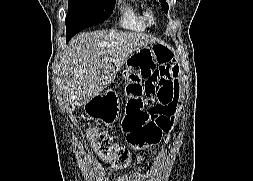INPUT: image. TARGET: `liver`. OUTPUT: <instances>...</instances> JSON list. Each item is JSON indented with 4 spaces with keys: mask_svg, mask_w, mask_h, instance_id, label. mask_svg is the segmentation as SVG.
I'll use <instances>...</instances> for the list:
<instances>
[{
    "mask_svg": "<svg viewBox=\"0 0 253 181\" xmlns=\"http://www.w3.org/2000/svg\"><path fill=\"white\" fill-rule=\"evenodd\" d=\"M153 41L135 32L104 30L73 37L62 58L63 92L72 107L70 111L99 95L130 55Z\"/></svg>",
    "mask_w": 253,
    "mask_h": 181,
    "instance_id": "liver-1",
    "label": "liver"
}]
</instances>
